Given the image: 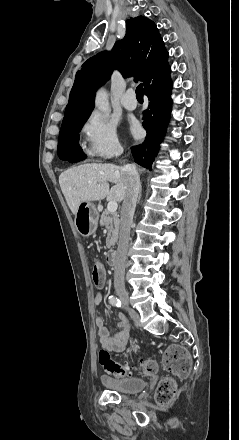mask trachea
Here are the masks:
<instances>
[{
    "instance_id": "trachea-1",
    "label": "trachea",
    "mask_w": 239,
    "mask_h": 440,
    "mask_svg": "<svg viewBox=\"0 0 239 440\" xmlns=\"http://www.w3.org/2000/svg\"><path fill=\"white\" fill-rule=\"evenodd\" d=\"M136 98L137 99H143V84L140 83L136 88Z\"/></svg>"
}]
</instances>
